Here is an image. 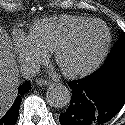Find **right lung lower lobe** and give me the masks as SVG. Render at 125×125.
Wrapping results in <instances>:
<instances>
[{"mask_svg":"<svg viewBox=\"0 0 125 125\" xmlns=\"http://www.w3.org/2000/svg\"><path fill=\"white\" fill-rule=\"evenodd\" d=\"M31 89L30 81L22 84L18 89V96L16 97L14 103L11 105L10 109L0 118V125H15L18 112L21 104V97L24 93Z\"/></svg>","mask_w":125,"mask_h":125,"instance_id":"1","label":"right lung lower lobe"}]
</instances>
